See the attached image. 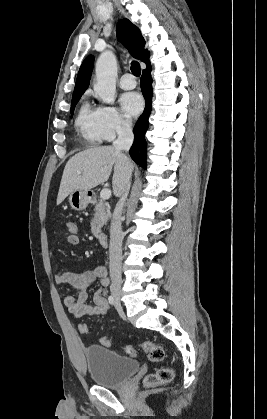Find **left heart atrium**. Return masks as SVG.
Masks as SVG:
<instances>
[{
  "label": "left heart atrium",
  "instance_id": "left-heart-atrium-1",
  "mask_svg": "<svg viewBox=\"0 0 267 419\" xmlns=\"http://www.w3.org/2000/svg\"><path fill=\"white\" fill-rule=\"evenodd\" d=\"M121 107L130 116H137L143 109V98L137 92H126L120 98Z\"/></svg>",
  "mask_w": 267,
  "mask_h": 419
}]
</instances>
